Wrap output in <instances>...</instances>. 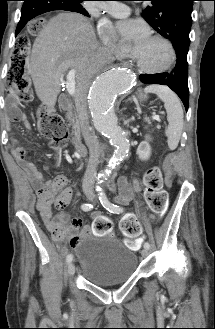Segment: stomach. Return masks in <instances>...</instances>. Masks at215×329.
<instances>
[{
	"label": "stomach",
	"mask_w": 215,
	"mask_h": 329,
	"mask_svg": "<svg viewBox=\"0 0 215 329\" xmlns=\"http://www.w3.org/2000/svg\"><path fill=\"white\" fill-rule=\"evenodd\" d=\"M146 98H147L146 95H143L142 93H139V99H140L141 101L145 100Z\"/></svg>",
	"instance_id": "stomach-1"
}]
</instances>
